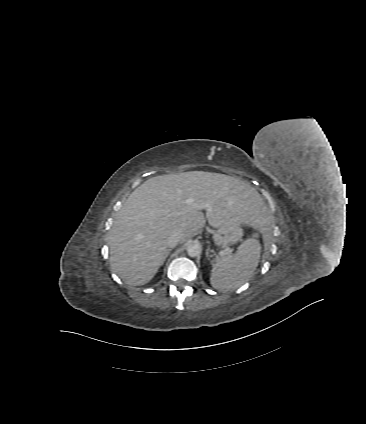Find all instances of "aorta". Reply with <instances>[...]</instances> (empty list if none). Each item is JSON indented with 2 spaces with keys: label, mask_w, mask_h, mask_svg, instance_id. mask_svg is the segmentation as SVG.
Here are the masks:
<instances>
[{
  "label": "aorta",
  "mask_w": 366,
  "mask_h": 424,
  "mask_svg": "<svg viewBox=\"0 0 366 424\" xmlns=\"http://www.w3.org/2000/svg\"><path fill=\"white\" fill-rule=\"evenodd\" d=\"M186 250L190 257H197L201 253V247L198 244H189Z\"/></svg>",
  "instance_id": "762f6f07"
}]
</instances>
